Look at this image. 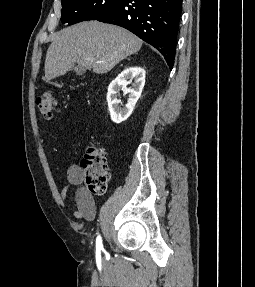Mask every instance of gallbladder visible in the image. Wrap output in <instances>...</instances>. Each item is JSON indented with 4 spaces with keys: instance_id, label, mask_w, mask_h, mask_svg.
I'll return each instance as SVG.
<instances>
[{
    "instance_id": "bac80fb5",
    "label": "gallbladder",
    "mask_w": 255,
    "mask_h": 287,
    "mask_svg": "<svg viewBox=\"0 0 255 287\" xmlns=\"http://www.w3.org/2000/svg\"><path fill=\"white\" fill-rule=\"evenodd\" d=\"M76 74H85V68H73Z\"/></svg>"
}]
</instances>
